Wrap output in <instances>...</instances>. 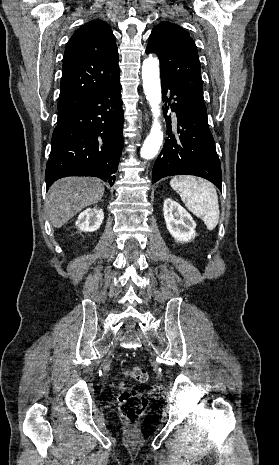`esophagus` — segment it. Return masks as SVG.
<instances>
[{
    "mask_svg": "<svg viewBox=\"0 0 279 465\" xmlns=\"http://www.w3.org/2000/svg\"><path fill=\"white\" fill-rule=\"evenodd\" d=\"M148 114L145 115V120L148 121Z\"/></svg>",
    "mask_w": 279,
    "mask_h": 465,
    "instance_id": "obj_1",
    "label": "esophagus"
}]
</instances>
